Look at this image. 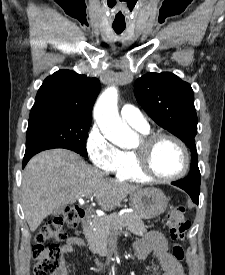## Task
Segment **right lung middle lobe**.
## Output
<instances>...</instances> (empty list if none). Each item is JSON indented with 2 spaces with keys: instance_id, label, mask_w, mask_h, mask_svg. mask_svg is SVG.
I'll use <instances>...</instances> for the list:
<instances>
[{
  "instance_id": "dd1d6c3e",
  "label": "right lung middle lobe",
  "mask_w": 225,
  "mask_h": 275,
  "mask_svg": "<svg viewBox=\"0 0 225 275\" xmlns=\"http://www.w3.org/2000/svg\"><path fill=\"white\" fill-rule=\"evenodd\" d=\"M25 156L51 148H66L87 157L85 139L91 119L77 116L29 118Z\"/></svg>"
}]
</instances>
